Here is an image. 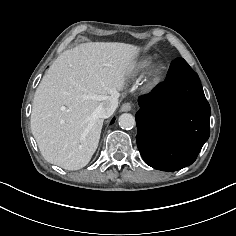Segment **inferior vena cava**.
<instances>
[{
	"instance_id": "obj_1",
	"label": "inferior vena cava",
	"mask_w": 236,
	"mask_h": 236,
	"mask_svg": "<svg viewBox=\"0 0 236 236\" xmlns=\"http://www.w3.org/2000/svg\"><path fill=\"white\" fill-rule=\"evenodd\" d=\"M118 106V95H111L107 98L106 101L102 102L98 107L99 117L105 119L109 118Z\"/></svg>"
}]
</instances>
